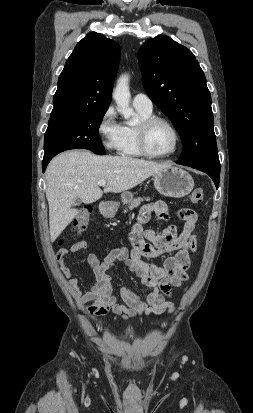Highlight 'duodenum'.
<instances>
[{"instance_id":"1","label":"duodenum","mask_w":253,"mask_h":413,"mask_svg":"<svg viewBox=\"0 0 253 413\" xmlns=\"http://www.w3.org/2000/svg\"><path fill=\"white\" fill-rule=\"evenodd\" d=\"M102 210H103L105 213H109V211H110V205H109L108 203H103V204H102Z\"/></svg>"}]
</instances>
